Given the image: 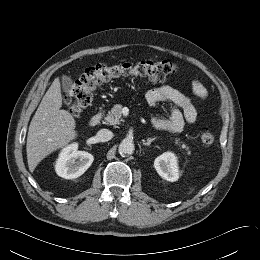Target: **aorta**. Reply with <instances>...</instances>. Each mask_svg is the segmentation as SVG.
Listing matches in <instances>:
<instances>
[{
  "mask_svg": "<svg viewBox=\"0 0 260 260\" xmlns=\"http://www.w3.org/2000/svg\"><path fill=\"white\" fill-rule=\"evenodd\" d=\"M135 150L134 143L131 140L124 139L118 147L120 155H131Z\"/></svg>",
  "mask_w": 260,
  "mask_h": 260,
  "instance_id": "aorta-1",
  "label": "aorta"
}]
</instances>
